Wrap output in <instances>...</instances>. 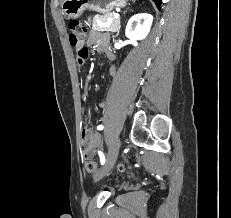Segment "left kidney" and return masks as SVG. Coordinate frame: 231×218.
<instances>
[{"mask_svg": "<svg viewBox=\"0 0 231 218\" xmlns=\"http://www.w3.org/2000/svg\"><path fill=\"white\" fill-rule=\"evenodd\" d=\"M152 22L153 16L148 13H139L132 16L126 26V37L133 41L143 40L148 35Z\"/></svg>", "mask_w": 231, "mask_h": 218, "instance_id": "obj_1", "label": "left kidney"}]
</instances>
